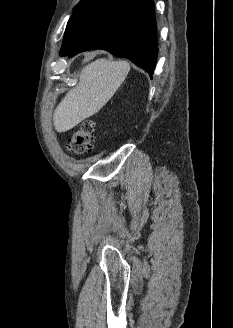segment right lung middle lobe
<instances>
[{"label":"right lung middle lobe","mask_w":233,"mask_h":328,"mask_svg":"<svg viewBox=\"0 0 233 328\" xmlns=\"http://www.w3.org/2000/svg\"><path fill=\"white\" fill-rule=\"evenodd\" d=\"M92 0H80V2L78 3V5L74 8V11H78L81 8L85 7L87 4H89Z\"/></svg>","instance_id":"1"}]
</instances>
